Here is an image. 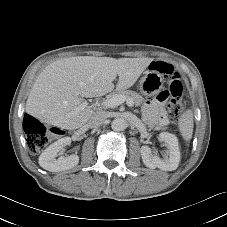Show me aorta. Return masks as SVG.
<instances>
[{
    "label": "aorta",
    "instance_id": "aorta-1",
    "mask_svg": "<svg viewBox=\"0 0 227 227\" xmlns=\"http://www.w3.org/2000/svg\"><path fill=\"white\" fill-rule=\"evenodd\" d=\"M114 131H123L127 128V121L124 118H115L111 123Z\"/></svg>",
    "mask_w": 227,
    "mask_h": 227
}]
</instances>
